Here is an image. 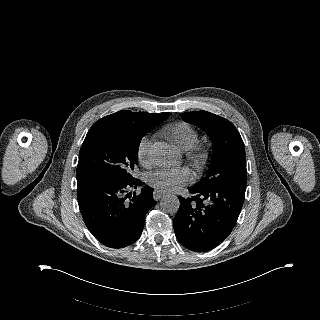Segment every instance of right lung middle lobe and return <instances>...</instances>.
<instances>
[{
  "mask_svg": "<svg viewBox=\"0 0 320 320\" xmlns=\"http://www.w3.org/2000/svg\"><path fill=\"white\" fill-rule=\"evenodd\" d=\"M142 137L104 136L82 145L77 171L98 170L124 181L135 179L132 171L138 165Z\"/></svg>",
  "mask_w": 320,
  "mask_h": 320,
  "instance_id": "right-lung-middle-lobe-1",
  "label": "right lung middle lobe"
}]
</instances>
